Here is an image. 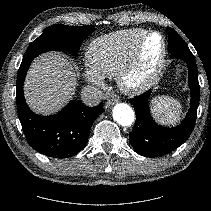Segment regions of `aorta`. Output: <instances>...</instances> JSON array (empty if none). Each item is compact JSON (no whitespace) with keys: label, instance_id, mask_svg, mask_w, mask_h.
I'll return each mask as SVG.
<instances>
[{"label":"aorta","instance_id":"1","mask_svg":"<svg viewBox=\"0 0 211 211\" xmlns=\"http://www.w3.org/2000/svg\"><path fill=\"white\" fill-rule=\"evenodd\" d=\"M113 118L122 126H131L134 122L135 114L128 104L119 103L113 108Z\"/></svg>","mask_w":211,"mask_h":211}]
</instances>
